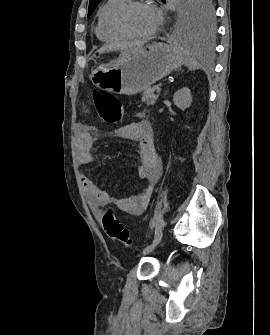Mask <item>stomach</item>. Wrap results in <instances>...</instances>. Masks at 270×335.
<instances>
[{"instance_id": "stomach-1", "label": "stomach", "mask_w": 270, "mask_h": 335, "mask_svg": "<svg viewBox=\"0 0 270 335\" xmlns=\"http://www.w3.org/2000/svg\"><path fill=\"white\" fill-rule=\"evenodd\" d=\"M183 62L184 52L178 46L155 42L146 48L120 54L112 66H99L93 70L91 80L101 90L134 96L181 68Z\"/></svg>"}]
</instances>
